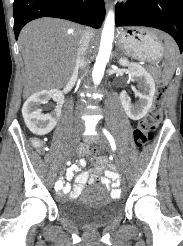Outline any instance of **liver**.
<instances>
[{"mask_svg":"<svg viewBox=\"0 0 183 246\" xmlns=\"http://www.w3.org/2000/svg\"><path fill=\"white\" fill-rule=\"evenodd\" d=\"M85 30L81 25L48 17L34 20L22 29L19 45L25 65L24 98L67 84ZM88 30L94 40L96 33Z\"/></svg>","mask_w":183,"mask_h":246,"instance_id":"obj_1","label":"liver"}]
</instances>
